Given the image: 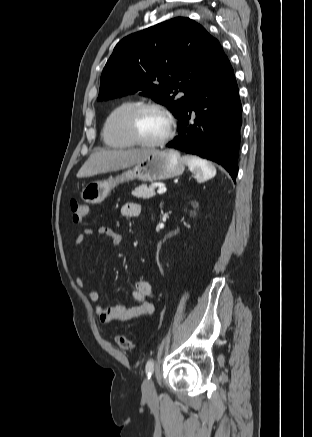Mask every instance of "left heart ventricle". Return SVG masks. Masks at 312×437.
<instances>
[{"mask_svg":"<svg viewBox=\"0 0 312 437\" xmlns=\"http://www.w3.org/2000/svg\"><path fill=\"white\" fill-rule=\"evenodd\" d=\"M167 129L166 118L157 111L145 110L137 118V130L144 140H158L166 134Z\"/></svg>","mask_w":312,"mask_h":437,"instance_id":"obj_1","label":"left heart ventricle"}]
</instances>
